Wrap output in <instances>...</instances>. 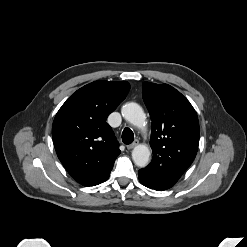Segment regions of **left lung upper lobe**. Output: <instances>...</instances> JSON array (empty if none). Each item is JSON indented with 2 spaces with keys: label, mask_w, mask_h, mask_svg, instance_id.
<instances>
[{
  "label": "left lung upper lobe",
  "mask_w": 247,
  "mask_h": 247,
  "mask_svg": "<svg viewBox=\"0 0 247 247\" xmlns=\"http://www.w3.org/2000/svg\"><path fill=\"white\" fill-rule=\"evenodd\" d=\"M143 100L152 123L151 163L142 170L174 186L193 162L199 144V122L190 102L167 84L145 82Z\"/></svg>",
  "instance_id": "obj_1"
}]
</instances>
